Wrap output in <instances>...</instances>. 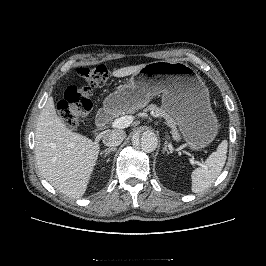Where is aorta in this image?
I'll return each mask as SVG.
<instances>
[{
    "label": "aorta",
    "mask_w": 266,
    "mask_h": 266,
    "mask_svg": "<svg viewBox=\"0 0 266 266\" xmlns=\"http://www.w3.org/2000/svg\"><path fill=\"white\" fill-rule=\"evenodd\" d=\"M133 144L140 145L144 152L151 153L155 151L158 146V138L152 130H144L138 137L133 139Z\"/></svg>",
    "instance_id": "aorta-1"
}]
</instances>
